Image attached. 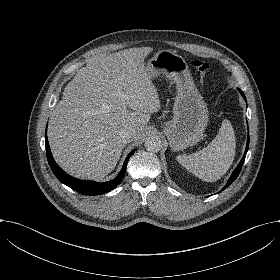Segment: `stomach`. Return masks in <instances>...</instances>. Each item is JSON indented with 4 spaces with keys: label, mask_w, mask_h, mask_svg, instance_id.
<instances>
[{
    "label": "stomach",
    "mask_w": 280,
    "mask_h": 280,
    "mask_svg": "<svg viewBox=\"0 0 280 280\" xmlns=\"http://www.w3.org/2000/svg\"><path fill=\"white\" fill-rule=\"evenodd\" d=\"M146 70L150 80L165 75L177 85L174 116L164 129L170 147L181 151L199 142L208 122L207 106L193 84L184 59L174 51L163 50L148 60Z\"/></svg>",
    "instance_id": "0dacf381"
}]
</instances>
